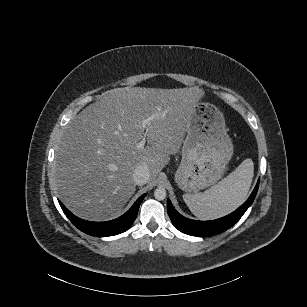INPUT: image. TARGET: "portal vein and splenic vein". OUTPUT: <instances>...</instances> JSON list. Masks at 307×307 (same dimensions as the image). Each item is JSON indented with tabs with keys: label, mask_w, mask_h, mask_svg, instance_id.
I'll return each mask as SVG.
<instances>
[{
	"label": "portal vein and splenic vein",
	"mask_w": 307,
	"mask_h": 307,
	"mask_svg": "<svg viewBox=\"0 0 307 307\" xmlns=\"http://www.w3.org/2000/svg\"><path fill=\"white\" fill-rule=\"evenodd\" d=\"M147 122H148V119H141V124H142L144 127L147 125ZM144 141H145V140L138 142L135 148H136L137 150H142V149H144Z\"/></svg>",
	"instance_id": "obj_1"
}]
</instances>
